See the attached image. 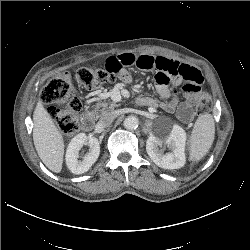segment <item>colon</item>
I'll return each instance as SVG.
<instances>
[{
  "instance_id": "colon-1",
  "label": "colon",
  "mask_w": 250,
  "mask_h": 250,
  "mask_svg": "<svg viewBox=\"0 0 250 250\" xmlns=\"http://www.w3.org/2000/svg\"><path fill=\"white\" fill-rule=\"evenodd\" d=\"M77 83L88 90L100 88L107 83H113L120 77L106 68L82 67L75 72ZM42 102L48 106L51 118L64 134H72L78 127V114L82 108L75 94L72 75L61 72L46 84L41 93ZM212 99L208 92L200 91L196 100L198 114H206L211 110Z\"/></svg>"
}]
</instances>
